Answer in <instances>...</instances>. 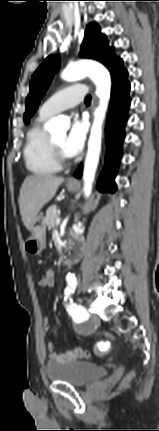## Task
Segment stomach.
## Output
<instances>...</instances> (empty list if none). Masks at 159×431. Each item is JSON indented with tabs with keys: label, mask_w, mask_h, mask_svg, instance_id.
I'll list each match as a JSON object with an SVG mask.
<instances>
[{
	"label": "stomach",
	"mask_w": 159,
	"mask_h": 431,
	"mask_svg": "<svg viewBox=\"0 0 159 431\" xmlns=\"http://www.w3.org/2000/svg\"><path fill=\"white\" fill-rule=\"evenodd\" d=\"M67 189L74 192L77 186L67 184ZM30 232L31 236L26 240L24 248L29 254H40L46 246V222L42 214L36 216Z\"/></svg>",
	"instance_id": "0dacf381"
}]
</instances>
